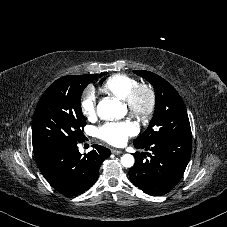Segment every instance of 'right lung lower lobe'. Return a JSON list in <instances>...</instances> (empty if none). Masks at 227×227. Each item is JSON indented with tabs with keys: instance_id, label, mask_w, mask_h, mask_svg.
I'll return each instance as SVG.
<instances>
[{
	"instance_id": "1",
	"label": "right lung lower lobe",
	"mask_w": 227,
	"mask_h": 227,
	"mask_svg": "<svg viewBox=\"0 0 227 227\" xmlns=\"http://www.w3.org/2000/svg\"><path fill=\"white\" fill-rule=\"evenodd\" d=\"M82 156L77 143L54 144L34 152L37 165L46 180L60 193L77 196L96 182L102 162L111 151L100 145Z\"/></svg>"
}]
</instances>
